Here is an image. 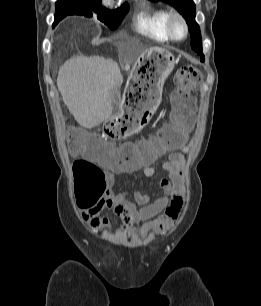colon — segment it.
<instances>
[{"mask_svg": "<svg viewBox=\"0 0 261 306\" xmlns=\"http://www.w3.org/2000/svg\"><path fill=\"white\" fill-rule=\"evenodd\" d=\"M174 81L176 88L172 93L171 122L163 125L151 140L142 142L136 147L125 146L120 152L112 153L99 148L89 140L82 139L78 134L70 135V150L84 155L75 160L72 166L75 186L81 200L80 208L86 207L84 201L102 199L106 192L104 171L94 160H100L113 168L133 166L152 162L157 155L180 146L192 124L195 109L192 92L199 85L200 72L193 65H184L176 72ZM127 129L119 121H112L108 123L102 136L108 140H119L124 137Z\"/></svg>", "mask_w": 261, "mask_h": 306, "instance_id": "5ec220e1", "label": "colon"}]
</instances>
